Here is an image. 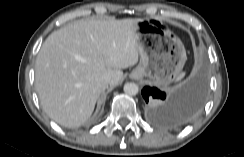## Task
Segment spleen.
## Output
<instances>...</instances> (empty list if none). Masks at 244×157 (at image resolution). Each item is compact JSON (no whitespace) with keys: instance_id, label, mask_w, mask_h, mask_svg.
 I'll return each instance as SVG.
<instances>
[{"instance_id":"1","label":"spleen","mask_w":244,"mask_h":157,"mask_svg":"<svg viewBox=\"0 0 244 157\" xmlns=\"http://www.w3.org/2000/svg\"><path fill=\"white\" fill-rule=\"evenodd\" d=\"M184 76H185V73L182 72L181 74L178 75V77L176 78V80L179 81V80H181Z\"/></svg>"}]
</instances>
